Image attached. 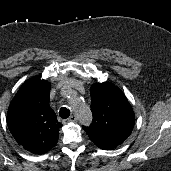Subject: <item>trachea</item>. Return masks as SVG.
Listing matches in <instances>:
<instances>
[{"instance_id": "obj_1", "label": "trachea", "mask_w": 171, "mask_h": 171, "mask_svg": "<svg viewBox=\"0 0 171 171\" xmlns=\"http://www.w3.org/2000/svg\"><path fill=\"white\" fill-rule=\"evenodd\" d=\"M59 115L63 119H67L70 116V110L66 107H62L59 111Z\"/></svg>"}]
</instances>
